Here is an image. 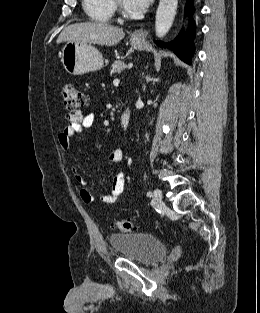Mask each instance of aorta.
Masks as SVG:
<instances>
[{
	"mask_svg": "<svg viewBox=\"0 0 260 313\" xmlns=\"http://www.w3.org/2000/svg\"><path fill=\"white\" fill-rule=\"evenodd\" d=\"M177 5L178 0H160L155 19V32L157 37H164L170 30L174 21Z\"/></svg>",
	"mask_w": 260,
	"mask_h": 313,
	"instance_id": "762f6f07",
	"label": "aorta"
}]
</instances>
